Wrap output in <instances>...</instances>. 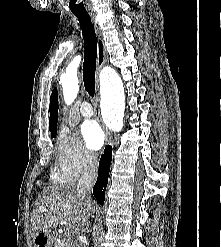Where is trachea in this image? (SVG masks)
<instances>
[{
	"instance_id": "trachea-1",
	"label": "trachea",
	"mask_w": 221,
	"mask_h": 247,
	"mask_svg": "<svg viewBox=\"0 0 221 247\" xmlns=\"http://www.w3.org/2000/svg\"><path fill=\"white\" fill-rule=\"evenodd\" d=\"M80 24L84 39L83 81L90 96L95 94V71L97 59V37L89 15L74 14Z\"/></svg>"
}]
</instances>
